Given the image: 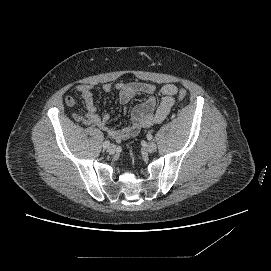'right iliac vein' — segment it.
I'll use <instances>...</instances> for the list:
<instances>
[{"label": "right iliac vein", "mask_w": 271, "mask_h": 271, "mask_svg": "<svg viewBox=\"0 0 271 271\" xmlns=\"http://www.w3.org/2000/svg\"><path fill=\"white\" fill-rule=\"evenodd\" d=\"M115 151H116L115 145L111 144V145L108 146L107 152H108L109 154H114Z\"/></svg>", "instance_id": "obj_1"}]
</instances>
